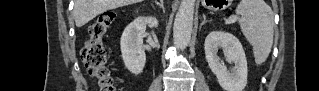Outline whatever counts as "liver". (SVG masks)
Returning a JSON list of instances; mask_svg holds the SVG:
<instances>
[{
	"label": "liver",
	"instance_id": "1",
	"mask_svg": "<svg viewBox=\"0 0 319 91\" xmlns=\"http://www.w3.org/2000/svg\"><path fill=\"white\" fill-rule=\"evenodd\" d=\"M142 0H75L74 18L77 27H82L106 10L141 2Z\"/></svg>",
	"mask_w": 319,
	"mask_h": 91
}]
</instances>
